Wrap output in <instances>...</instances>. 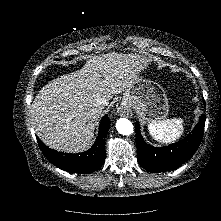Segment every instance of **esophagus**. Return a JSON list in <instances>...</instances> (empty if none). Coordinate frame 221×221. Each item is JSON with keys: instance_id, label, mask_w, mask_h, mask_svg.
Here are the masks:
<instances>
[{"instance_id": "1", "label": "esophagus", "mask_w": 221, "mask_h": 221, "mask_svg": "<svg viewBox=\"0 0 221 221\" xmlns=\"http://www.w3.org/2000/svg\"><path fill=\"white\" fill-rule=\"evenodd\" d=\"M119 112L120 115L124 117H130L133 114L130 106L127 104H121V106L119 107Z\"/></svg>"}]
</instances>
